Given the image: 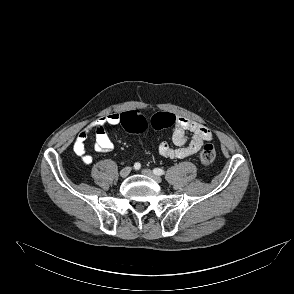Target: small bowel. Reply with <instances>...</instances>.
<instances>
[{"label": "small bowel", "mask_w": 294, "mask_h": 294, "mask_svg": "<svg viewBox=\"0 0 294 294\" xmlns=\"http://www.w3.org/2000/svg\"><path fill=\"white\" fill-rule=\"evenodd\" d=\"M121 123V114L110 113L99 117L78 134L74 143V152L81 160L89 165L93 157L86 153L85 142L92 132L95 133L94 149L97 152L106 153L113 149V143L105 131L106 125H118ZM174 130L172 133V147L167 142H161L158 153L165 158L183 159L196 154L202 148L205 141L212 138V133L206 126L188 118L175 117ZM189 134L191 136L189 137Z\"/></svg>", "instance_id": "1"}]
</instances>
